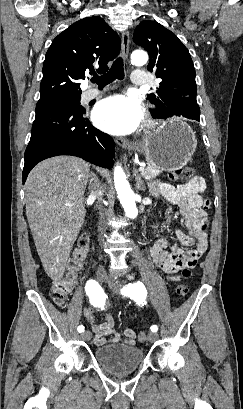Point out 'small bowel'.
<instances>
[{"label": "small bowel", "mask_w": 243, "mask_h": 409, "mask_svg": "<svg viewBox=\"0 0 243 409\" xmlns=\"http://www.w3.org/2000/svg\"><path fill=\"white\" fill-rule=\"evenodd\" d=\"M151 190L155 195L162 196L178 205L184 217V224L189 230L187 234L177 229L175 235L181 245L193 247L192 249L183 250L177 245L170 244L167 239L160 238L147 250L155 266L166 273L169 280L179 281L183 278L179 272L184 268L192 269L207 250V208L210 203L202 195L205 190V182L199 177L177 186L156 181L151 185ZM84 316L92 326L95 345L103 346L109 343L134 345L136 343L137 335L132 329H124L122 336L114 328V318L111 312L106 314L105 320L100 324L95 323L91 309H85ZM107 335L111 337L106 338Z\"/></svg>", "instance_id": "small-bowel-1"}]
</instances>
